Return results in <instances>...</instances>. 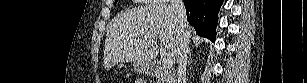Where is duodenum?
<instances>
[{
	"mask_svg": "<svg viewBox=\"0 0 307 83\" xmlns=\"http://www.w3.org/2000/svg\"><path fill=\"white\" fill-rule=\"evenodd\" d=\"M153 73L155 74V73H157V71L153 70Z\"/></svg>",
	"mask_w": 307,
	"mask_h": 83,
	"instance_id": "410a0bca",
	"label": "duodenum"
}]
</instances>
